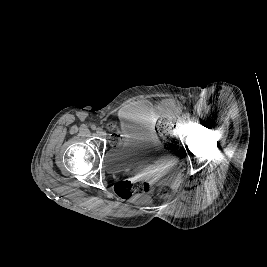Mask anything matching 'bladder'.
<instances>
[{
    "label": "bladder",
    "mask_w": 267,
    "mask_h": 267,
    "mask_svg": "<svg viewBox=\"0 0 267 267\" xmlns=\"http://www.w3.org/2000/svg\"><path fill=\"white\" fill-rule=\"evenodd\" d=\"M157 137L129 136L111 147L105 155V168L121 173L141 168L156 158Z\"/></svg>",
    "instance_id": "obj_1"
}]
</instances>
